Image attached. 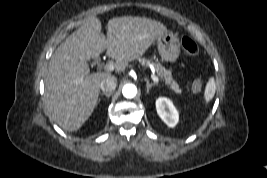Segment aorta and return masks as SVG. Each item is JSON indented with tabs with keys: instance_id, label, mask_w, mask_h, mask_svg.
<instances>
[{
	"instance_id": "obj_1",
	"label": "aorta",
	"mask_w": 267,
	"mask_h": 178,
	"mask_svg": "<svg viewBox=\"0 0 267 178\" xmlns=\"http://www.w3.org/2000/svg\"><path fill=\"white\" fill-rule=\"evenodd\" d=\"M122 94L125 98H134L137 94V87L134 84H126L122 88Z\"/></svg>"
}]
</instances>
